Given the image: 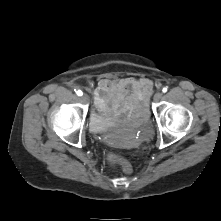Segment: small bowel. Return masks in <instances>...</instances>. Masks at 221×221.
<instances>
[{"label":"small bowel","instance_id":"small-bowel-1","mask_svg":"<svg viewBox=\"0 0 221 221\" xmlns=\"http://www.w3.org/2000/svg\"><path fill=\"white\" fill-rule=\"evenodd\" d=\"M152 89L153 83L148 78L125 77L102 79L93 93L99 112L138 116L146 112L144 102Z\"/></svg>","mask_w":221,"mask_h":221}]
</instances>
